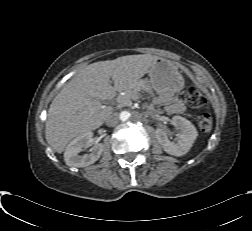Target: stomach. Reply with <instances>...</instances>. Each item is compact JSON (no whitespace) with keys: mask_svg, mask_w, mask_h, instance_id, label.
Listing matches in <instances>:
<instances>
[{"mask_svg":"<svg viewBox=\"0 0 252 231\" xmlns=\"http://www.w3.org/2000/svg\"><path fill=\"white\" fill-rule=\"evenodd\" d=\"M150 85L160 95L177 94L184 81L177 68L165 59L159 58L149 71Z\"/></svg>","mask_w":252,"mask_h":231,"instance_id":"stomach-1","label":"stomach"}]
</instances>
